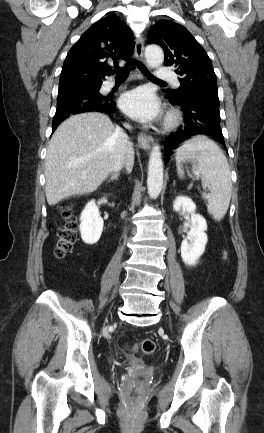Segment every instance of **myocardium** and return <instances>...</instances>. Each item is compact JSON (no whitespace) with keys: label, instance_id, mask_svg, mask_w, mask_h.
<instances>
[{"label":"myocardium","instance_id":"f54148a6","mask_svg":"<svg viewBox=\"0 0 264 433\" xmlns=\"http://www.w3.org/2000/svg\"><path fill=\"white\" fill-rule=\"evenodd\" d=\"M179 121H180V115L175 111H171L165 119V127L173 128L176 125H178Z\"/></svg>","mask_w":264,"mask_h":433}]
</instances>
